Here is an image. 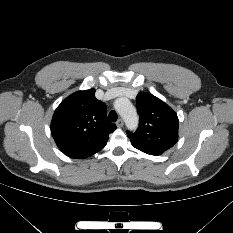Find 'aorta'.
I'll return each instance as SVG.
<instances>
[{
  "instance_id": "1",
  "label": "aorta",
  "mask_w": 233,
  "mask_h": 233,
  "mask_svg": "<svg viewBox=\"0 0 233 233\" xmlns=\"http://www.w3.org/2000/svg\"><path fill=\"white\" fill-rule=\"evenodd\" d=\"M114 107L123 118L128 129L135 130L138 127V116L136 109L128 99H117Z\"/></svg>"
}]
</instances>
